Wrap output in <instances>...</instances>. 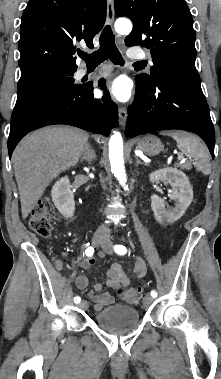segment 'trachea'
<instances>
[{"instance_id": "1", "label": "trachea", "mask_w": 221, "mask_h": 379, "mask_svg": "<svg viewBox=\"0 0 221 379\" xmlns=\"http://www.w3.org/2000/svg\"><path fill=\"white\" fill-rule=\"evenodd\" d=\"M80 57L87 65H99L109 58L116 65H123L124 61L115 44V36L113 35L110 26H106L100 36V48L92 54L83 53ZM135 64H143L136 62Z\"/></svg>"}]
</instances>
